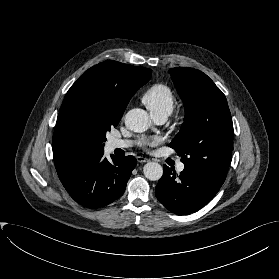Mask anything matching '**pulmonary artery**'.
<instances>
[{
	"label": "pulmonary artery",
	"instance_id": "obj_1",
	"mask_svg": "<svg viewBox=\"0 0 279 279\" xmlns=\"http://www.w3.org/2000/svg\"><path fill=\"white\" fill-rule=\"evenodd\" d=\"M167 116H168L167 114H158V115L153 116V118L157 123L162 124L166 121ZM109 145L112 149L127 148V147L131 146V141L112 139L109 142ZM184 168H185V165L182 162L178 163L176 166V169L178 172H182L184 170Z\"/></svg>",
	"mask_w": 279,
	"mask_h": 279
}]
</instances>
